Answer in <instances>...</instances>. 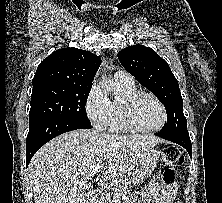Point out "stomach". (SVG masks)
I'll return each mask as SVG.
<instances>
[{"instance_id": "obj_1", "label": "stomach", "mask_w": 222, "mask_h": 203, "mask_svg": "<svg viewBox=\"0 0 222 203\" xmlns=\"http://www.w3.org/2000/svg\"><path fill=\"white\" fill-rule=\"evenodd\" d=\"M160 157V151L151 149L146 153L144 160L133 169L132 175L129 179L127 186H136L143 183L148 177L151 176L155 169Z\"/></svg>"}]
</instances>
